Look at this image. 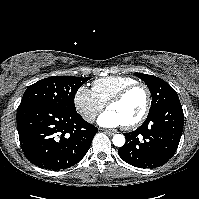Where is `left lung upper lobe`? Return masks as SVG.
I'll list each match as a JSON object with an SVG mask.
<instances>
[{
	"label": "left lung upper lobe",
	"instance_id": "obj_1",
	"mask_svg": "<svg viewBox=\"0 0 199 199\" xmlns=\"http://www.w3.org/2000/svg\"><path fill=\"white\" fill-rule=\"evenodd\" d=\"M134 75L143 80L151 92L152 102L149 113L160 109L166 104L180 101L176 91L161 78L142 73H134Z\"/></svg>",
	"mask_w": 199,
	"mask_h": 199
}]
</instances>
